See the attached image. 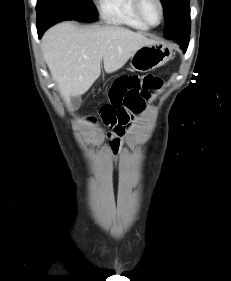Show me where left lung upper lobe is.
I'll list each match as a JSON object with an SVG mask.
<instances>
[{
    "label": "left lung upper lobe",
    "mask_w": 231,
    "mask_h": 281,
    "mask_svg": "<svg viewBox=\"0 0 231 281\" xmlns=\"http://www.w3.org/2000/svg\"><path fill=\"white\" fill-rule=\"evenodd\" d=\"M161 2L165 15V37L179 29L190 30L189 0H161Z\"/></svg>",
    "instance_id": "obj_1"
}]
</instances>
